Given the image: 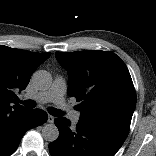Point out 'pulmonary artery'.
<instances>
[{"mask_svg":"<svg viewBox=\"0 0 156 156\" xmlns=\"http://www.w3.org/2000/svg\"><path fill=\"white\" fill-rule=\"evenodd\" d=\"M67 90L66 81L62 77H56L51 87L45 91L38 92L33 97L41 103L52 102L66 112H70L69 117L73 123H77L80 119V113L70 111V107L66 104L64 95Z\"/></svg>","mask_w":156,"mask_h":156,"instance_id":"pulmonary-artery-1","label":"pulmonary artery"}]
</instances>
